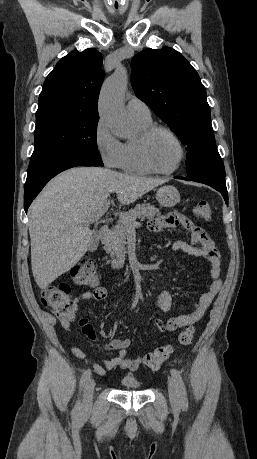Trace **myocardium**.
<instances>
[{"instance_id":"myocardium-1","label":"myocardium","mask_w":257,"mask_h":459,"mask_svg":"<svg viewBox=\"0 0 257 459\" xmlns=\"http://www.w3.org/2000/svg\"><path fill=\"white\" fill-rule=\"evenodd\" d=\"M158 132H164L168 134L176 142L179 148V151H180V156H179V159L176 165L169 170H163V169L158 168L153 163L150 157V152H149L150 142L152 138L154 137V135L157 134ZM138 150H139V155H140V158L143 164L150 171L157 173V174H162V175H170V174L175 173L181 167L186 157V150H185L184 144L182 143L178 135L175 132H173L170 128L163 126V125H157V124L150 125L149 127H147L146 129L140 132L139 137H138Z\"/></svg>"}]
</instances>
